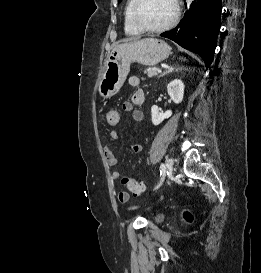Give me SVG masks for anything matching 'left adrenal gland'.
Returning a JSON list of instances; mask_svg holds the SVG:
<instances>
[{"label": "left adrenal gland", "mask_w": 261, "mask_h": 273, "mask_svg": "<svg viewBox=\"0 0 261 273\" xmlns=\"http://www.w3.org/2000/svg\"><path fill=\"white\" fill-rule=\"evenodd\" d=\"M174 69L172 68V67H170L168 70H166L163 74H161L160 75V77L161 76H164L165 74H167V73H170V72H172Z\"/></svg>", "instance_id": "left-adrenal-gland-1"}]
</instances>
